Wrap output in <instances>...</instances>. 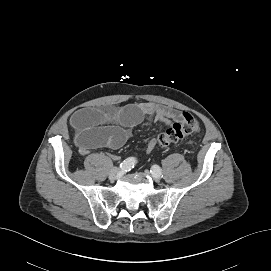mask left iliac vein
Returning a JSON list of instances; mask_svg holds the SVG:
<instances>
[{
  "label": "left iliac vein",
  "mask_w": 271,
  "mask_h": 271,
  "mask_svg": "<svg viewBox=\"0 0 271 271\" xmlns=\"http://www.w3.org/2000/svg\"><path fill=\"white\" fill-rule=\"evenodd\" d=\"M145 172H146L147 174L150 173L148 170H146ZM152 177H153L154 181H156V182H159L160 179H161V176H159V175H153V174H152Z\"/></svg>",
  "instance_id": "obj_1"
}]
</instances>
